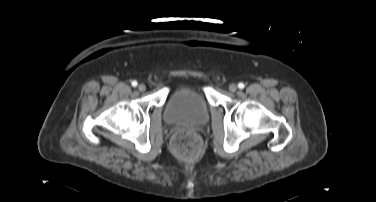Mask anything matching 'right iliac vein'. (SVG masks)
Segmentation results:
<instances>
[{
    "mask_svg": "<svg viewBox=\"0 0 376 202\" xmlns=\"http://www.w3.org/2000/svg\"><path fill=\"white\" fill-rule=\"evenodd\" d=\"M139 91L143 92L146 89V86L144 84H139L138 86Z\"/></svg>",
    "mask_w": 376,
    "mask_h": 202,
    "instance_id": "obj_1",
    "label": "right iliac vein"
}]
</instances>
